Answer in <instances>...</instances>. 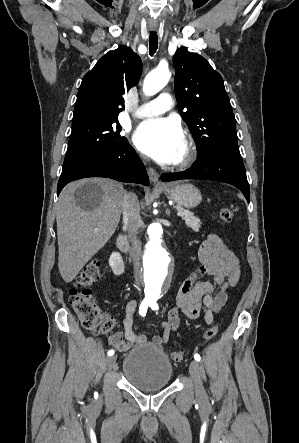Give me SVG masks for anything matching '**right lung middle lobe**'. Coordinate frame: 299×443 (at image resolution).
<instances>
[{"label":"right lung middle lobe","mask_w":299,"mask_h":443,"mask_svg":"<svg viewBox=\"0 0 299 443\" xmlns=\"http://www.w3.org/2000/svg\"><path fill=\"white\" fill-rule=\"evenodd\" d=\"M121 130L117 117L88 118L72 123L62 173L96 156L121 150L128 144L120 135Z\"/></svg>","instance_id":"right-lung-middle-lobe-1"}]
</instances>
